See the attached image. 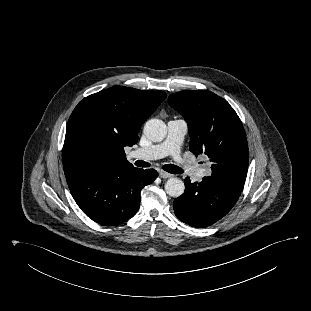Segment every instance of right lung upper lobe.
<instances>
[{"mask_svg":"<svg viewBox=\"0 0 311 311\" xmlns=\"http://www.w3.org/2000/svg\"><path fill=\"white\" fill-rule=\"evenodd\" d=\"M166 93L116 86L84 98L72 112L63 146L64 173L97 165L134 168L125 158L124 147L138 141L142 124L160 105ZM82 139L94 144V157L87 165L76 162Z\"/></svg>","mask_w":311,"mask_h":311,"instance_id":"1","label":"right lung upper lobe"}]
</instances>
